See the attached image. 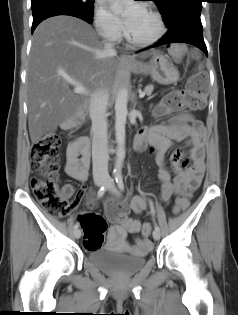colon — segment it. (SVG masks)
<instances>
[{
	"instance_id": "1",
	"label": "colon",
	"mask_w": 238,
	"mask_h": 315,
	"mask_svg": "<svg viewBox=\"0 0 238 315\" xmlns=\"http://www.w3.org/2000/svg\"><path fill=\"white\" fill-rule=\"evenodd\" d=\"M168 51L176 62H181L187 50L179 44L168 46ZM206 103V76L202 70L197 71L190 79L185 90L171 91L158 107V112L173 111L178 109L199 110ZM60 145L59 135L50 130L40 137L31 150V161L34 172L30 186L34 197L47 211L56 215H65L70 206L66 198L59 194L58 188V150ZM189 206L188 196L179 197L174 204L176 214L183 212ZM111 218L117 223H123L128 218V208L122 202L111 201L107 205ZM83 231L84 247L89 249L99 248L103 242L107 229L106 220L96 213H84L78 216ZM152 227L149 223L142 226V235L149 237Z\"/></svg>"
}]
</instances>
